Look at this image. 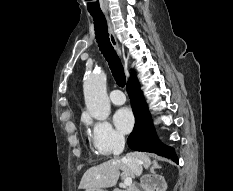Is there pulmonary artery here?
I'll return each instance as SVG.
<instances>
[{
    "instance_id": "obj_1",
    "label": "pulmonary artery",
    "mask_w": 233,
    "mask_h": 191,
    "mask_svg": "<svg viewBox=\"0 0 233 191\" xmlns=\"http://www.w3.org/2000/svg\"><path fill=\"white\" fill-rule=\"evenodd\" d=\"M109 98L111 102L115 105H122L126 101L124 93L118 89L112 90L110 92Z\"/></svg>"
}]
</instances>
